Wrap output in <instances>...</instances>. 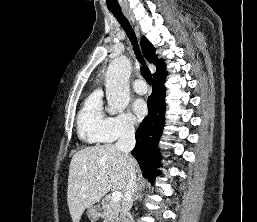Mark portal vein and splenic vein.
I'll return each mask as SVG.
<instances>
[{
	"label": "portal vein and splenic vein",
	"mask_w": 257,
	"mask_h": 222,
	"mask_svg": "<svg viewBox=\"0 0 257 222\" xmlns=\"http://www.w3.org/2000/svg\"><path fill=\"white\" fill-rule=\"evenodd\" d=\"M122 198V193L120 191H115L111 195L112 202H119Z\"/></svg>",
	"instance_id": "portal-vein-and-splenic-vein-1"
}]
</instances>
